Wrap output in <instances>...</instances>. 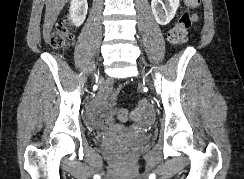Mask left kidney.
<instances>
[{"instance_id":"1","label":"left kidney","mask_w":244,"mask_h":179,"mask_svg":"<svg viewBox=\"0 0 244 179\" xmlns=\"http://www.w3.org/2000/svg\"><path fill=\"white\" fill-rule=\"evenodd\" d=\"M179 6V0H152L151 8L157 24L167 26L173 20Z\"/></svg>"}]
</instances>
